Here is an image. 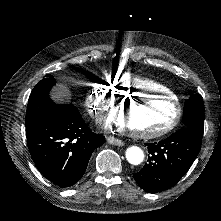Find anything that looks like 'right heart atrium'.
<instances>
[{
  "label": "right heart atrium",
  "instance_id": "obj_1",
  "mask_svg": "<svg viewBox=\"0 0 221 221\" xmlns=\"http://www.w3.org/2000/svg\"><path fill=\"white\" fill-rule=\"evenodd\" d=\"M116 86L111 80L95 83L87 94V104L93 109H104L114 102Z\"/></svg>",
  "mask_w": 221,
  "mask_h": 221
}]
</instances>
